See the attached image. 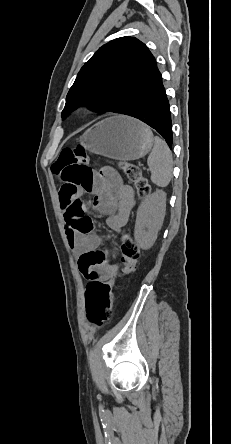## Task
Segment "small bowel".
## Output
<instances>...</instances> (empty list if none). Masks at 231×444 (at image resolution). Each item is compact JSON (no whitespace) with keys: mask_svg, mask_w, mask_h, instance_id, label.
Returning a JSON list of instances; mask_svg holds the SVG:
<instances>
[{"mask_svg":"<svg viewBox=\"0 0 231 444\" xmlns=\"http://www.w3.org/2000/svg\"><path fill=\"white\" fill-rule=\"evenodd\" d=\"M84 191L93 196L92 207L97 214L107 217L108 227L116 232L127 223L135 204L132 187L125 184L119 173L112 167L103 168L87 188H69L62 186L60 205L66 224L69 244L79 256L80 272L88 281L114 277L120 270L118 261H109L104 251L98 250L100 239L89 234H80L74 227V217L70 213L71 205L80 201Z\"/></svg>","mask_w":231,"mask_h":444,"instance_id":"1","label":"small bowel"}]
</instances>
